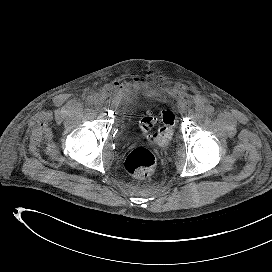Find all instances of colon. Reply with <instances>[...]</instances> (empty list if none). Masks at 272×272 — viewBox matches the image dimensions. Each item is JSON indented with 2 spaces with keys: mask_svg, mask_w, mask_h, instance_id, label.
Wrapping results in <instances>:
<instances>
[{
  "mask_svg": "<svg viewBox=\"0 0 272 272\" xmlns=\"http://www.w3.org/2000/svg\"><path fill=\"white\" fill-rule=\"evenodd\" d=\"M174 121V113L170 110H166L162 115V124L155 133L150 134V130L155 123V119L151 115H146L141 120L140 127L151 141L165 144L171 139ZM155 167V156L152 152L143 147L132 150L125 160L126 170L136 177L143 178L150 176L154 172Z\"/></svg>",
  "mask_w": 272,
  "mask_h": 272,
  "instance_id": "obj_1",
  "label": "colon"
}]
</instances>
